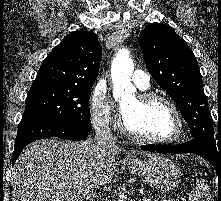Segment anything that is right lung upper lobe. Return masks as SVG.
<instances>
[{"mask_svg":"<svg viewBox=\"0 0 221 201\" xmlns=\"http://www.w3.org/2000/svg\"><path fill=\"white\" fill-rule=\"evenodd\" d=\"M101 55L102 47L95 33L72 32L45 58L31 88L91 89Z\"/></svg>","mask_w":221,"mask_h":201,"instance_id":"obj_1","label":"right lung upper lobe"}]
</instances>
